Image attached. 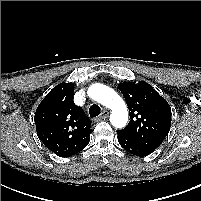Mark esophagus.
I'll return each instance as SVG.
<instances>
[{
  "label": "esophagus",
  "mask_w": 201,
  "mask_h": 201,
  "mask_svg": "<svg viewBox=\"0 0 201 201\" xmlns=\"http://www.w3.org/2000/svg\"><path fill=\"white\" fill-rule=\"evenodd\" d=\"M109 115V111L108 110H104L103 113L96 119L97 121L103 120L105 118H107Z\"/></svg>",
  "instance_id": "obj_1"
}]
</instances>
